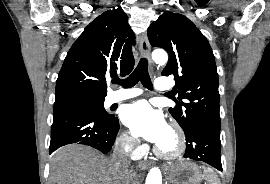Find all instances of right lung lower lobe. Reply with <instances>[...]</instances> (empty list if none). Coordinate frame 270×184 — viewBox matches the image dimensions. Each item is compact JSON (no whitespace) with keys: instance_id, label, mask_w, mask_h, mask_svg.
Here are the masks:
<instances>
[{"instance_id":"1","label":"right lung lower lobe","mask_w":270,"mask_h":184,"mask_svg":"<svg viewBox=\"0 0 270 184\" xmlns=\"http://www.w3.org/2000/svg\"><path fill=\"white\" fill-rule=\"evenodd\" d=\"M119 128L117 117L101 119L83 104L54 106L49 154L72 143L88 145L106 154L111 151Z\"/></svg>"}]
</instances>
